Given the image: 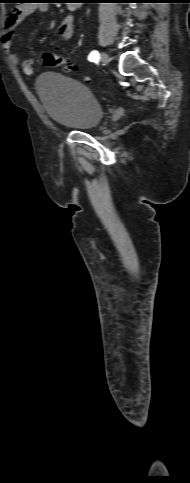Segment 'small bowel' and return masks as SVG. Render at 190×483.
Wrapping results in <instances>:
<instances>
[{
    "label": "small bowel",
    "mask_w": 190,
    "mask_h": 483,
    "mask_svg": "<svg viewBox=\"0 0 190 483\" xmlns=\"http://www.w3.org/2000/svg\"><path fill=\"white\" fill-rule=\"evenodd\" d=\"M37 11L43 14L47 11V6H35L33 4H23L14 8L6 19V28L3 33V49L8 59L21 67L24 74L30 75L33 72L32 60H21L19 55L12 49L13 36L17 26L28 16ZM56 33L65 41H69L74 35L73 16L68 15L57 26Z\"/></svg>",
    "instance_id": "1"
}]
</instances>
